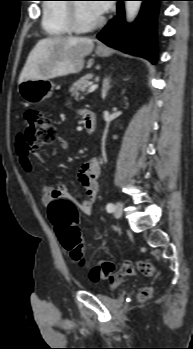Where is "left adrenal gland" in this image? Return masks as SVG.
I'll list each match as a JSON object with an SVG mask.
<instances>
[{
    "instance_id": "1",
    "label": "left adrenal gland",
    "mask_w": 193,
    "mask_h": 349,
    "mask_svg": "<svg viewBox=\"0 0 193 349\" xmlns=\"http://www.w3.org/2000/svg\"><path fill=\"white\" fill-rule=\"evenodd\" d=\"M110 88H111V86H110V79L106 78L105 81H104L103 88H102V97L104 99L106 98V95H107L108 91L110 90Z\"/></svg>"
}]
</instances>
